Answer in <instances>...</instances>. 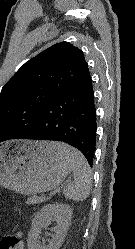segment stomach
<instances>
[{
  "mask_svg": "<svg viewBox=\"0 0 135 249\" xmlns=\"http://www.w3.org/2000/svg\"><path fill=\"white\" fill-rule=\"evenodd\" d=\"M48 141H12L0 146V186L33 195L58 187L71 172L68 159Z\"/></svg>",
  "mask_w": 135,
  "mask_h": 249,
  "instance_id": "0dacf381",
  "label": "stomach"
}]
</instances>
